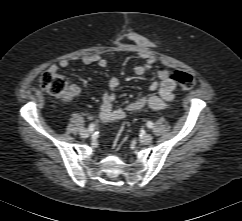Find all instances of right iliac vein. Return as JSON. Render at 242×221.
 <instances>
[{
  "label": "right iliac vein",
  "mask_w": 242,
  "mask_h": 221,
  "mask_svg": "<svg viewBox=\"0 0 242 221\" xmlns=\"http://www.w3.org/2000/svg\"><path fill=\"white\" fill-rule=\"evenodd\" d=\"M89 135H90V132L86 129H83V130L80 131V136L82 138H87V137H89Z\"/></svg>",
  "instance_id": "obj_1"
}]
</instances>
